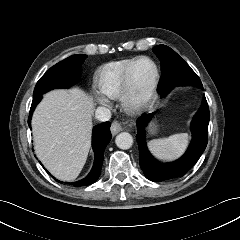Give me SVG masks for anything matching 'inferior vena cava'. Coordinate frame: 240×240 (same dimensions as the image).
Masks as SVG:
<instances>
[{
    "label": "inferior vena cava",
    "mask_w": 240,
    "mask_h": 240,
    "mask_svg": "<svg viewBox=\"0 0 240 240\" xmlns=\"http://www.w3.org/2000/svg\"><path fill=\"white\" fill-rule=\"evenodd\" d=\"M95 118L101 122L108 121L111 118V111L106 107H98L95 111Z\"/></svg>",
    "instance_id": "602c4592"
}]
</instances>
